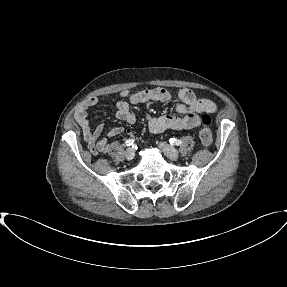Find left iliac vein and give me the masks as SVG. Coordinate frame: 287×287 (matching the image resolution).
I'll return each mask as SVG.
<instances>
[{"label":"left iliac vein","mask_w":287,"mask_h":287,"mask_svg":"<svg viewBox=\"0 0 287 287\" xmlns=\"http://www.w3.org/2000/svg\"><path fill=\"white\" fill-rule=\"evenodd\" d=\"M159 148L166 154L169 159L177 160L179 158V152L171 145L165 142H160Z\"/></svg>","instance_id":"1"}]
</instances>
